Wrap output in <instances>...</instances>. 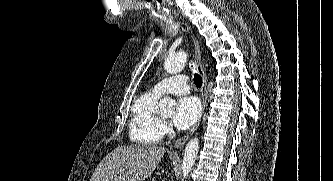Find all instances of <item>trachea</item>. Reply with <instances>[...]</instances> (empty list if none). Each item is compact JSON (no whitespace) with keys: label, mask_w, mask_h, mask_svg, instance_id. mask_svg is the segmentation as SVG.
<instances>
[{"label":"trachea","mask_w":333,"mask_h":181,"mask_svg":"<svg viewBox=\"0 0 333 181\" xmlns=\"http://www.w3.org/2000/svg\"><path fill=\"white\" fill-rule=\"evenodd\" d=\"M194 83L197 87L202 86V77L197 73L194 74Z\"/></svg>","instance_id":"1"}]
</instances>
